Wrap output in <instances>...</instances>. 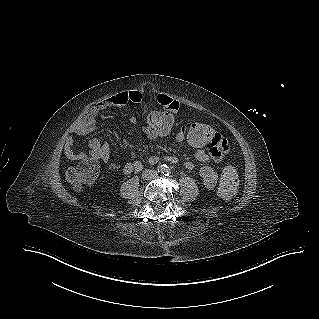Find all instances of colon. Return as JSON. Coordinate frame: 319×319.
<instances>
[{"label": "colon", "instance_id": "5ec220e1", "mask_svg": "<svg viewBox=\"0 0 319 319\" xmlns=\"http://www.w3.org/2000/svg\"><path fill=\"white\" fill-rule=\"evenodd\" d=\"M177 127L176 116L173 113H165L164 110L151 113L143 123L145 134L153 140H160L172 135ZM214 131L208 122L197 120L187 127L185 137L191 147L206 151L214 146L210 142V137L214 135ZM224 142L227 144L225 140ZM226 152H228V144ZM76 156L79 163L68 170L66 179L75 190H80L84 186L95 182L99 174V165L97 157L91 154L81 152L77 153ZM239 184L240 181L236 171L231 166H227L218 188V194L224 199H229L236 193Z\"/></svg>", "mask_w": 319, "mask_h": 319}]
</instances>
